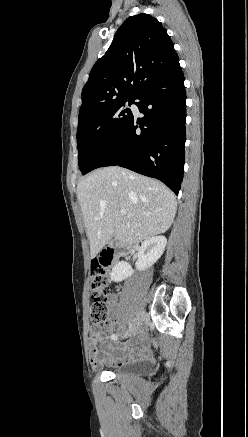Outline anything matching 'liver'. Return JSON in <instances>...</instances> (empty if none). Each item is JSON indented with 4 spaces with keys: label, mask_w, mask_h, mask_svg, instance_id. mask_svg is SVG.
Here are the masks:
<instances>
[{
    "label": "liver",
    "mask_w": 248,
    "mask_h": 437,
    "mask_svg": "<svg viewBox=\"0 0 248 437\" xmlns=\"http://www.w3.org/2000/svg\"><path fill=\"white\" fill-rule=\"evenodd\" d=\"M77 197L91 258L113 237L130 246L166 232L177 209L175 195L164 184L117 166L79 181ZM121 209L131 216L121 215Z\"/></svg>",
    "instance_id": "liver-1"
}]
</instances>
